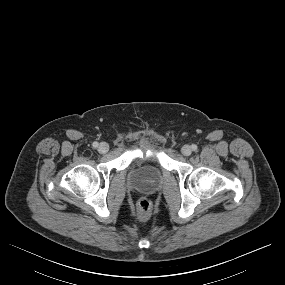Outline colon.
<instances>
[{"instance_id":"obj_1","label":"colon","mask_w":285,"mask_h":285,"mask_svg":"<svg viewBox=\"0 0 285 285\" xmlns=\"http://www.w3.org/2000/svg\"><path fill=\"white\" fill-rule=\"evenodd\" d=\"M152 209L151 202L146 198H140L137 203L138 215L141 218H146L150 215Z\"/></svg>"}]
</instances>
